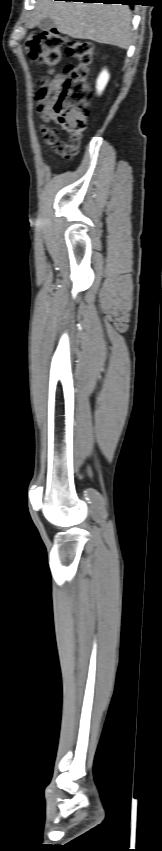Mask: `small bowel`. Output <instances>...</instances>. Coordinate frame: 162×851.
<instances>
[{
  "mask_svg": "<svg viewBox=\"0 0 162 851\" xmlns=\"http://www.w3.org/2000/svg\"><path fill=\"white\" fill-rule=\"evenodd\" d=\"M49 74V77L39 82L35 93V100L40 118L44 122H55L54 105L59 97L65 75L63 73H56L54 70H50ZM40 129L45 143L52 146V150L55 153L64 157H71V151L75 150L77 152V145L71 140L69 142L59 141L58 131L46 125H42Z\"/></svg>",
  "mask_w": 162,
  "mask_h": 851,
  "instance_id": "c3829d8e",
  "label": "small bowel"
}]
</instances>
